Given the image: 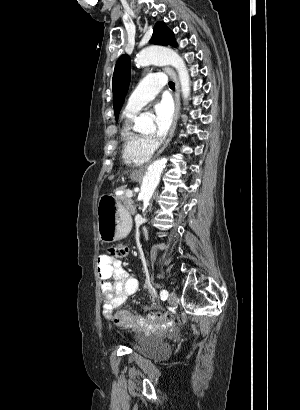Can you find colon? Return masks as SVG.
<instances>
[{
	"label": "colon",
	"mask_w": 300,
	"mask_h": 410,
	"mask_svg": "<svg viewBox=\"0 0 300 410\" xmlns=\"http://www.w3.org/2000/svg\"><path fill=\"white\" fill-rule=\"evenodd\" d=\"M108 252L111 257L113 258H124L128 254V247L123 244L112 245L109 247ZM169 319L167 315H150L147 319L141 318L137 315L131 314L127 311H118L114 315V323L115 325L122 327V328H131L145 321L150 323H162Z\"/></svg>",
	"instance_id": "1"
}]
</instances>
